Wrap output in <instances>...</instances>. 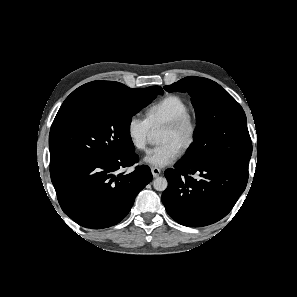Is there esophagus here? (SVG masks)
Segmentation results:
<instances>
[{
	"instance_id": "1",
	"label": "esophagus",
	"mask_w": 297,
	"mask_h": 297,
	"mask_svg": "<svg viewBox=\"0 0 297 297\" xmlns=\"http://www.w3.org/2000/svg\"><path fill=\"white\" fill-rule=\"evenodd\" d=\"M151 172H152L153 177L156 178L160 175L161 170L159 168L152 167Z\"/></svg>"
}]
</instances>
